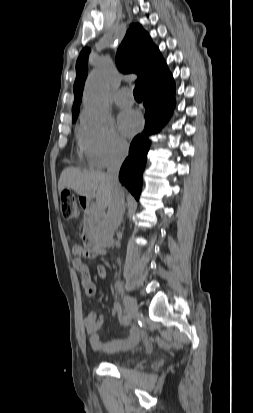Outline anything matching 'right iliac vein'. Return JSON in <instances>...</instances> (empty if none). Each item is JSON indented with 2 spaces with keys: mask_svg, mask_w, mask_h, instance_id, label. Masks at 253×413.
Returning <instances> with one entry per match:
<instances>
[{
  "mask_svg": "<svg viewBox=\"0 0 253 413\" xmlns=\"http://www.w3.org/2000/svg\"><path fill=\"white\" fill-rule=\"evenodd\" d=\"M123 302L128 315L132 318H136L139 315V309L136 300L129 295H124Z\"/></svg>",
  "mask_w": 253,
  "mask_h": 413,
  "instance_id": "63e3f726",
  "label": "right iliac vein"
}]
</instances>
